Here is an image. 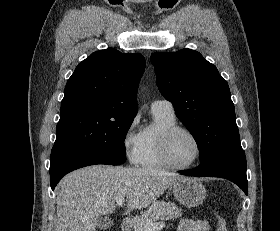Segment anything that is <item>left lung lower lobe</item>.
Returning a JSON list of instances; mask_svg holds the SVG:
<instances>
[{"mask_svg": "<svg viewBox=\"0 0 280 231\" xmlns=\"http://www.w3.org/2000/svg\"><path fill=\"white\" fill-rule=\"evenodd\" d=\"M179 173L196 177H220L237 184L247 195L246 157L240 144L227 147L192 170Z\"/></svg>", "mask_w": 280, "mask_h": 231, "instance_id": "1", "label": "left lung lower lobe"}]
</instances>
